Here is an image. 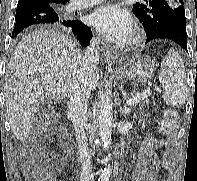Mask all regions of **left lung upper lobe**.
Segmentation results:
<instances>
[{
	"instance_id": "5c2ea615",
	"label": "left lung upper lobe",
	"mask_w": 197,
	"mask_h": 181,
	"mask_svg": "<svg viewBox=\"0 0 197 181\" xmlns=\"http://www.w3.org/2000/svg\"><path fill=\"white\" fill-rule=\"evenodd\" d=\"M136 3L133 13L142 22L147 37L153 35L161 23L169 18L185 17L183 0H144Z\"/></svg>"
}]
</instances>
